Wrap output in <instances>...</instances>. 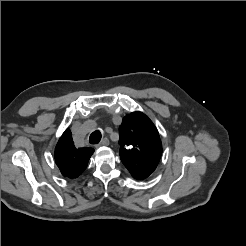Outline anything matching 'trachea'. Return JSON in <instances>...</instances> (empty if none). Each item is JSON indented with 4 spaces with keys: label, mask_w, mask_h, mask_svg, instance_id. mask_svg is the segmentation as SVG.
Here are the masks:
<instances>
[{
    "label": "trachea",
    "mask_w": 246,
    "mask_h": 246,
    "mask_svg": "<svg viewBox=\"0 0 246 246\" xmlns=\"http://www.w3.org/2000/svg\"><path fill=\"white\" fill-rule=\"evenodd\" d=\"M101 137L102 135L99 130L94 131L89 137L90 144H98L101 140Z\"/></svg>",
    "instance_id": "obj_1"
}]
</instances>
